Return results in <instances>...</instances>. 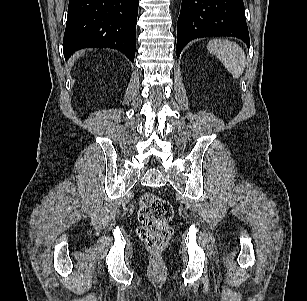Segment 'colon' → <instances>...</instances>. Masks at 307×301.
Wrapping results in <instances>:
<instances>
[{
  "instance_id": "1",
  "label": "colon",
  "mask_w": 307,
  "mask_h": 301,
  "mask_svg": "<svg viewBox=\"0 0 307 301\" xmlns=\"http://www.w3.org/2000/svg\"><path fill=\"white\" fill-rule=\"evenodd\" d=\"M172 217L173 208L166 199L152 193L142 195L138 209L141 223L138 235L148 248L161 249L169 242L172 236Z\"/></svg>"
}]
</instances>
